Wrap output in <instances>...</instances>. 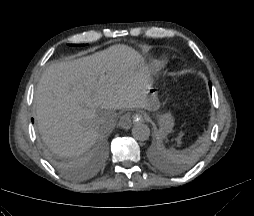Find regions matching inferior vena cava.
I'll return each instance as SVG.
<instances>
[{"label":"inferior vena cava","mask_w":254,"mask_h":216,"mask_svg":"<svg viewBox=\"0 0 254 216\" xmlns=\"http://www.w3.org/2000/svg\"><path fill=\"white\" fill-rule=\"evenodd\" d=\"M96 122L98 125L102 124L103 123V119L102 118H98L96 119Z\"/></svg>","instance_id":"1"}]
</instances>
